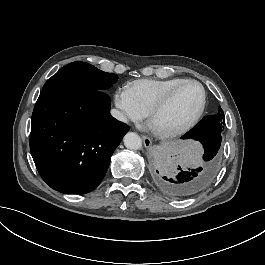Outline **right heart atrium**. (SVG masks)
Returning <instances> with one entry per match:
<instances>
[{
	"mask_svg": "<svg viewBox=\"0 0 265 265\" xmlns=\"http://www.w3.org/2000/svg\"><path fill=\"white\" fill-rule=\"evenodd\" d=\"M132 99L133 95L128 87L122 86L116 90L112 101V116L119 126L142 125L146 120L145 111L138 110Z\"/></svg>",
	"mask_w": 265,
	"mask_h": 265,
	"instance_id": "obj_1",
	"label": "right heart atrium"
}]
</instances>
